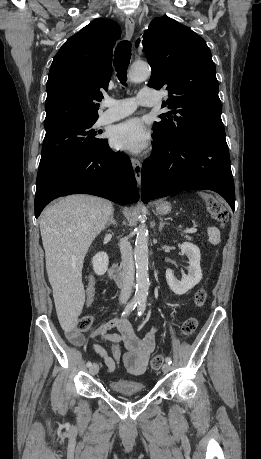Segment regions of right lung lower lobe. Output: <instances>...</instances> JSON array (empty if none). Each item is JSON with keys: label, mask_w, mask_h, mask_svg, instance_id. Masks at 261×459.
<instances>
[{"label": "right lung lower lobe", "mask_w": 261, "mask_h": 459, "mask_svg": "<svg viewBox=\"0 0 261 459\" xmlns=\"http://www.w3.org/2000/svg\"><path fill=\"white\" fill-rule=\"evenodd\" d=\"M70 194H91L118 204L139 200L130 159L113 152L108 141L97 151L63 159L38 172L35 217L53 199Z\"/></svg>", "instance_id": "98d812e1"}]
</instances>
